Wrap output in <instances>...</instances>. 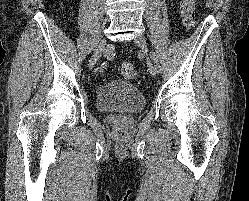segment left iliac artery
<instances>
[{
    "instance_id": "1",
    "label": "left iliac artery",
    "mask_w": 249,
    "mask_h": 201,
    "mask_svg": "<svg viewBox=\"0 0 249 201\" xmlns=\"http://www.w3.org/2000/svg\"><path fill=\"white\" fill-rule=\"evenodd\" d=\"M150 56L152 58V60L154 61V63L156 64V69H157V72L160 73L161 72V66L160 64L158 63V59H157V56L154 52H151L150 53Z\"/></svg>"
}]
</instances>
